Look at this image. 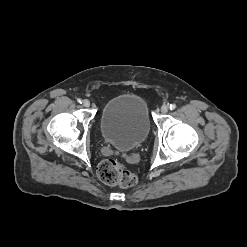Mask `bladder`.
Returning a JSON list of instances; mask_svg holds the SVG:
<instances>
[{"label":"bladder","instance_id":"1","mask_svg":"<svg viewBox=\"0 0 247 247\" xmlns=\"http://www.w3.org/2000/svg\"><path fill=\"white\" fill-rule=\"evenodd\" d=\"M100 128L104 140L120 151L139 146L150 132L146 101L135 94L110 99L102 109Z\"/></svg>","mask_w":247,"mask_h":247}]
</instances>
